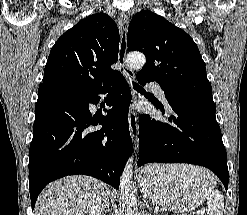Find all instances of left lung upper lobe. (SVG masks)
Here are the masks:
<instances>
[{"instance_id":"1","label":"left lung upper lobe","mask_w":247,"mask_h":215,"mask_svg":"<svg viewBox=\"0 0 247 215\" xmlns=\"http://www.w3.org/2000/svg\"><path fill=\"white\" fill-rule=\"evenodd\" d=\"M127 46L146 55L139 74L158 82L167 99L213 103L205 63L193 39L182 29L151 11H141L129 24Z\"/></svg>"}]
</instances>
